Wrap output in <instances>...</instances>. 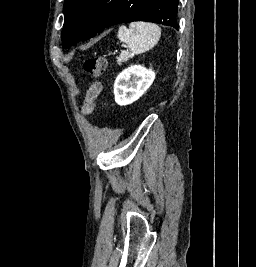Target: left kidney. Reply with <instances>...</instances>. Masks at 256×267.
<instances>
[{"label": "left kidney", "mask_w": 256, "mask_h": 267, "mask_svg": "<svg viewBox=\"0 0 256 267\" xmlns=\"http://www.w3.org/2000/svg\"><path fill=\"white\" fill-rule=\"evenodd\" d=\"M155 72L144 66H130L117 76L114 84L115 102L119 106H127L139 100L144 92L152 86Z\"/></svg>", "instance_id": "5707ae66"}]
</instances>
